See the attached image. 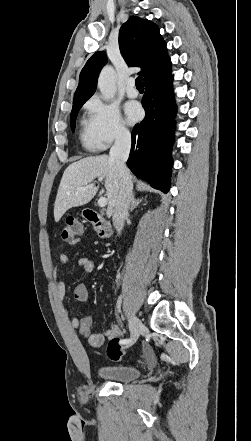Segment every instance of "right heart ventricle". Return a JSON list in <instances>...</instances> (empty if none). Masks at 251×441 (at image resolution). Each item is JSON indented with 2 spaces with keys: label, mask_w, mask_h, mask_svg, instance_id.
<instances>
[{
  "label": "right heart ventricle",
  "mask_w": 251,
  "mask_h": 441,
  "mask_svg": "<svg viewBox=\"0 0 251 441\" xmlns=\"http://www.w3.org/2000/svg\"><path fill=\"white\" fill-rule=\"evenodd\" d=\"M81 140L87 146L92 148V141L88 131L87 122H83V130L81 132Z\"/></svg>",
  "instance_id": "right-heart-ventricle-1"
}]
</instances>
